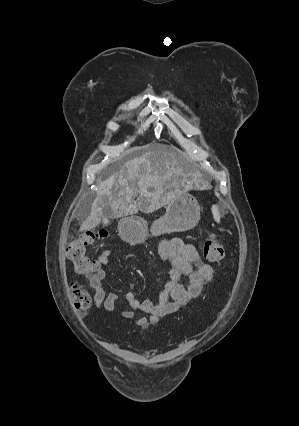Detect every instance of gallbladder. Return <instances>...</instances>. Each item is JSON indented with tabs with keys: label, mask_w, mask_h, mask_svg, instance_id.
<instances>
[{
	"label": "gallbladder",
	"mask_w": 299,
	"mask_h": 426,
	"mask_svg": "<svg viewBox=\"0 0 299 426\" xmlns=\"http://www.w3.org/2000/svg\"><path fill=\"white\" fill-rule=\"evenodd\" d=\"M103 213H104V225H107L109 223V219L112 217V209L110 207H105L103 209Z\"/></svg>",
	"instance_id": "bac80fb5"
}]
</instances>
